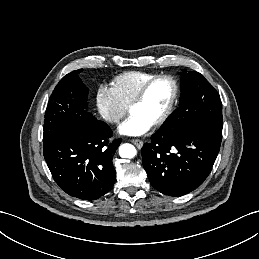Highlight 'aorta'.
I'll return each instance as SVG.
<instances>
[{
    "mask_svg": "<svg viewBox=\"0 0 259 259\" xmlns=\"http://www.w3.org/2000/svg\"><path fill=\"white\" fill-rule=\"evenodd\" d=\"M136 154L137 150L132 144L125 143L119 147V155L122 158L132 159L136 156Z\"/></svg>",
    "mask_w": 259,
    "mask_h": 259,
    "instance_id": "obj_1",
    "label": "aorta"
}]
</instances>
